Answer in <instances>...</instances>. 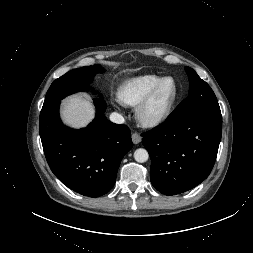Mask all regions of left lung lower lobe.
<instances>
[{
    "instance_id": "left-lung-lower-lobe-1",
    "label": "left lung lower lobe",
    "mask_w": 253,
    "mask_h": 253,
    "mask_svg": "<svg viewBox=\"0 0 253 253\" xmlns=\"http://www.w3.org/2000/svg\"><path fill=\"white\" fill-rule=\"evenodd\" d=\"M221 135V115L209 113L168 118L143 134L152 161V185L175 195L202 183L214 166Z\"/></svg>"
}]
</instances>
